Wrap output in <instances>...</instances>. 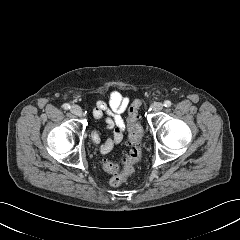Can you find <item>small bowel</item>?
Segmentation results:
<instances>
[{"instance_id":"small-bowel-1","label":"small bowel","mask_w":240,"mask_h":240,"mask_svg":"<svg viewBox=\"0 0 240 240\" xmlns=\"http://www.w3.org/2000/svg\"><path fill=\"white\" fill-rule=\"evenodd\" d=\"M129 105L128 97L124 96L118 90H112L109 101H97L93 109L95 119H104L106 128L111 131V135L105 141H102V135L99 131H93L90 135L92 142L98 145L102 154L109 153L113 147L122 142L125 131V121L122 114Z\"/></svg>"}]
</instances>
